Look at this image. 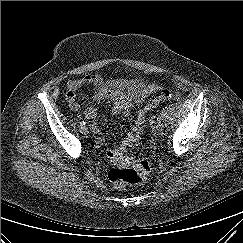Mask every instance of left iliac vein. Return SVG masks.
<instances>
[{"label": "left iliac vein", "instance_id": "1", "mask_svg": "<svg viewBox=\"0 0 243 243\" xmlns=\"http://www.w3.org/2000/svg\"><path fill=\"white\" fill-rule=\"evenodd\" d=\"M156 129H157L158 131H162V130H163V125H162L161 122H158V123H157V125H156Z\"/></svg>", "mask_w": 243, "mask_h": 243}]
</instances>
